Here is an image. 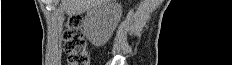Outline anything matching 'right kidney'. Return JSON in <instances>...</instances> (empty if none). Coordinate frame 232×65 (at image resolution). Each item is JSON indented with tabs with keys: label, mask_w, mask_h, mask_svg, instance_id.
<instances>
[{
	"label": "right kidney",
	"mask_w": 232,
	"mask_h": 65,
	"mask_svg": "<svg viewBox=\"0 0 232 65\" xmlns=\"http://www.w3.org/2000/svg\"><path fill=\"white\" fill-rule=\"evenodd\" d=\"M121 14V5L113 0H104L92 7L84 20V33L87 39L96 47L106 44L116 29Z\"/></svg>",
	"instance_id": "right-kidney-1"
}]
</instances>
